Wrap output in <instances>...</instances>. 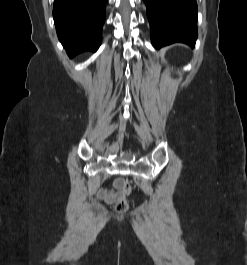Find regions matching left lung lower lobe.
Here are the masks:
<instances>
[{"label": "left lung lower lobe", "instance_id": "left-lung-lower-lobe-1", "mask_svg": "<svg viewBox=\"0 0 247 265\" xmlns=\"http://www.w3.org/2000/svg\"><path fill=\"white\" fill-rule=\"evenodd\" d=\"M155 48L182 42L195 46L197 4L195 0H144Z\"/></svg>", "mask_w": 247, "mask_h": 265}]
</instances>
